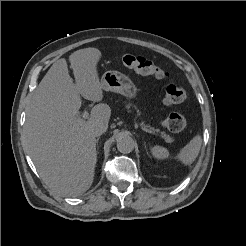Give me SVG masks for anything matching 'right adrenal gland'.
I'll return each instance as SVG.
<instances>
[{"label": "right adrenal gland", "mask_w": 246, "mask_h": 246, "mask_svg": "<svg viewBox=\"0 0 246 246\" xmlns=\"http://www.w3.org/2000/svg\"><path fill=\"white\" fill-rule=\"evenodd\" d=\"M96 143H97V148H99V138L96 139Z\"/></svg>", "instance_id": "right-adrenal-gland-1"}]
</instances>
